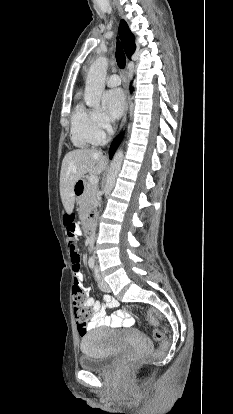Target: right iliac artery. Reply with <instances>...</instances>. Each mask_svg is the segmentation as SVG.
I'll return each instance as SVG.
<instances>
[{
  "mask_svg": "<svg viewBox=\"0 0 233 414\" xmlns=\"http://www.w3.org/2000/svg\"><path fill=\"white\" fill-rule=\"evenodd\" d=\"M89 267L92 268V269L94 268V262L93 261L89 262Z\"/></svg>",
  "mask_w": 233,
  "mask_h": 414,
  "instance_id": "1",
  "label": "right iliac artery"
}]
</instances>
